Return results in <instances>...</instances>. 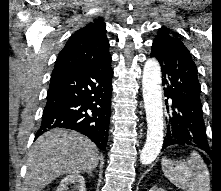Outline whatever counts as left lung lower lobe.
Segmentation results:
<instances>
[{
    "label": "left lung lower lobe",
    "instance_id": "left-lung-lower-lobe-1",
    "mask_svg": "<svg viewBox=\"0 0 221 191\" xmlns=\"http://www.w3.org/2000/svg\"><path fill=\"white\" fill-rule=\"evenodd\" d=\"M150 56L156 57L161 64L162 85H167L164 95L171 99L170 106L173 110L169 116L162 150L186 144L209 151L208 142L204 143L207 135L197 68L189 50L177 38L169 41L155 40ZM165 104H168V100H165Z\"/></svg>",
    "mask_w": 221,
    "mask_h": 191
}]
</instances>
